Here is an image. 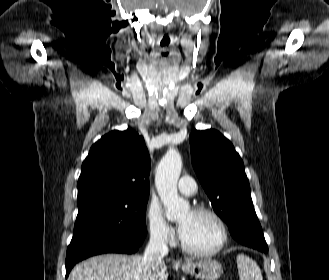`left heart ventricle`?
I'll use <instances>...</instances> for the list:
<instances>
[{
	"instance_id": "1",
	"label": "left heart ventricle",
	"mask_w": 329,
	"mask_h": 280,
	"mask_svg": "<svg viewBox=\"0 0 329 280\" xmlns=\"http://www.w3.org/2000/svg\"><path fill=\"white\" fill-rule=\"evenodd\" d=\"M178 223L183 227L182 239L192 248L200 250L211 249L219 242V227L207 215L195 214L187 210L180 215Z\"/></svg>"
}]
</instances>
